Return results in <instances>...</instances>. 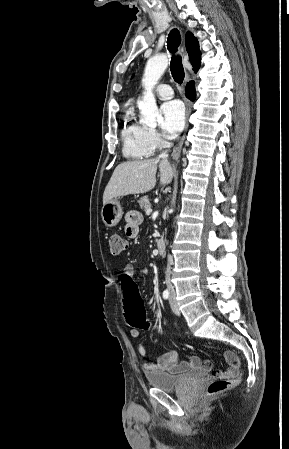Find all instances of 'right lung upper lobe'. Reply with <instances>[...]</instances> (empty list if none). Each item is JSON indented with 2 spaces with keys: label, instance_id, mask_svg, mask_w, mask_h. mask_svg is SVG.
Returning <instances> with one entry per match:
<instances>
[{
  "label": "right lung upper lobe",
  "instance_id": "right-lung-upper-lobe-1",
  "mask_svg": "<svg viewBox=\"0 0 289 449\" xmlns=\"http://www.w3.org/2000/svg\"><path fill=\"white\" fill-rule=\"evenodd\" d=\"M185 44L193 70L197 72L200 67L201 52L198 41L191 32L186 33Z\"/></svg>",
  "mask_w": 289,
  "mask_h": 449
}]
</instances>
